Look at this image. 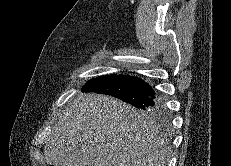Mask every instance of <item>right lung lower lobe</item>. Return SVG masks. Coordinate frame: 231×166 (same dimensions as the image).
Returning <instances> with one entry per match:
<instances>
[{
  "mask_svg": "<svg viewBox=\"0 0 231 166\" xmlns=\"http://www.w3.org/2000/svg\"><path fill=\"white\" fill-rule=\"evenodd\" d=\"M81 90L110 95L137 108L158 113L163 123L169 125L163 100L148 83L138 77L123 74L103 75L89 80Z\"/></svg>",
  "mask_w": 231,
  "mask_h": 166,
  "instance_id": "1",
  "label": "right lung lower lobe"
}]
</instances>
